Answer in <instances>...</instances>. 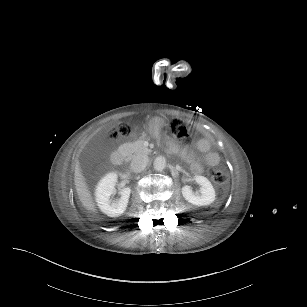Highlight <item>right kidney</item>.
I'll return each mask as SVG.
<instances>
[{
    "instance_id": "obj_1",
    "label": "right kidney",
    "mask_w": 307,
    "mask_h": 307,
    "mask_svg": "<svg viewBox=\"0 0 307 307\" xmlns=\"http://www.w3.org/2000/svg\"><path fill=\"white\" fill-rule=\"evenodd\" d=\"M117 174H107L98 184L96 189V201L99 208L109 217H119L124 214L127 209L131 195V188L125 187L120 193L121 197L112 200L111 197L116 193Z\"/></svg>"
}]
</instances>
